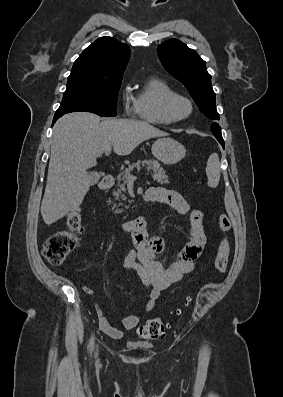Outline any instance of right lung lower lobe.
I'll list each match as a JSON object with an SVG mask.
<instances>
[{
  "instance_id": "obj_1",
  "label": "right lung lower lobe",
  "mask_w": 283,
  "mask_h": 397,
  "mask_svg": "<svg viewBox=\"0 0 283 397\" xmlns=\"http://www.w3.org/2000/svg\"><path fill=\"white\" fill-rule=\"evenodd\" d=\"M62 115H64V114H55L54 115V118H53V124L56 122V120L58 119V118H60ZM52 124V125H53Z\"/></svg>"
}]
</instances>
